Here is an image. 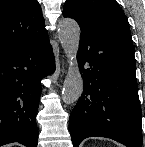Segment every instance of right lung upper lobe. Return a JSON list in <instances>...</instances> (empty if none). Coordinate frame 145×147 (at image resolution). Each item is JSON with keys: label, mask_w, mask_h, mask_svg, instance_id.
Segmentation results:
<instances>
[{"label": "right lung upper lobe", "mask_w": 145, "mask_h": 147, "mask_svg": "<svg viewBox=\"0 0 145 147\" xmlns=\"http://www.w3.org/2000/svg\"><path fill=\"white\" fill-rule=\"evenodd\" d=\"M46 34L37 0H0V56Z\"/></svg>", "instance_id": "1"}]
</instances>
